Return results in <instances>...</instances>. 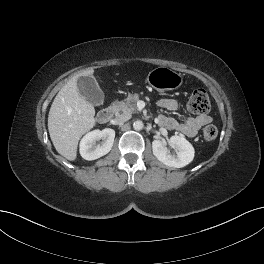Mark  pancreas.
<instances>
[{"label": "pancreas", "mask_w": 264, "mask_h": 264, "mask_svg": "<svg viewBox=\"0 0 264 264\" xmlns=\"http://www.w3.org/2000/svg\"><path fill=\"white\" fill-rule=\"evenodd\" d=\"M139 100L138 95L128 96L124 101H115L113 103L114 112L117 116L131 115L138 111L136 103Z\"/></svg>", "instance_id": "pancreas-1"}]
</instances>
